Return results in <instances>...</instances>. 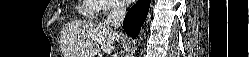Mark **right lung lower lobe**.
Masks as SVG:
<instances>
[{"label":"right lung lower lobe","mask_w":249,"mask_h":57,"mask_svg":"<svg viewBox=\"0 0 249 57\" xmlns=\"http://www.w3.org/2000/svg\"><path fill=\"white\" fill-rule=\"evenodd\" d=\"M150 6V0H139L131 7L123 22L124 31L135 39L144 23Z\"/></svg>","instance_id":"obj_1"}]
</instances>
